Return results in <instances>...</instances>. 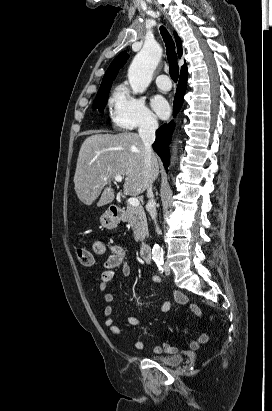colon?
<instances>
[{"mask_svg":"<svg viewBox=\"0 0 272 411\" xmlns=\"http://www.w3.org/2000/svg\"><path fill=\"white\" fill-rule=\"evenodd\" d=\"M77 259L84 266H92L94 264L93 254L86 248L79 247L76 249Z\"/></svg>","mask_w":272,"mask_h":411,"instance_id":"obj_1","label":"colon"}]
</instances>
